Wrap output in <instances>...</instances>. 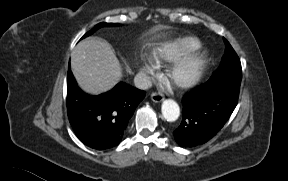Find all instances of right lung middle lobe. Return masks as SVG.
I'll return each mask as SVG.
<instances>
[{
    "instance_id": "obj_1",
    "label": "right lung middle lobe",
    "mask_w": 288,
    "mask_h": 181,
    "mask_svg": "<svg viewBox=\"0 0 288 181\" xmlns=\"http://www.w3.org/2000/svg\"><path fill=\"white\" fill-rule=\"evenodd\" d=\"M119 24H113V23H105V22H102V23H99L97 24L96 26H94L89 32H87L82 38H85L89 35H91L92 33H94L97 29L101 28V27H104V26H118Z\"/></svg>"
}]
</instances>
